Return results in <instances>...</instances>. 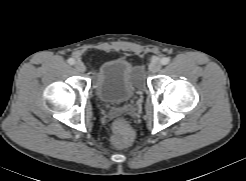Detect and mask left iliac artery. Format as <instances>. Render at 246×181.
Masks as SVG:
<instances>
[{
  "instance_id": "left-iliac-artery-1",
  "label": "left iliac artery",
  "mask_w": 246,
  "mask_h": 181,
  "mask_svg": "<svg viewBox=\"0 0 246 181\" xmlns=\"http://www.w3.org/2000/svg\"><path fill=\"white\" fill-rule=\"evenodd\" d=\"M170 62V59L168 57H163L161 59V64L162 65H167Z\"/></svg>"
}]
</instances>
